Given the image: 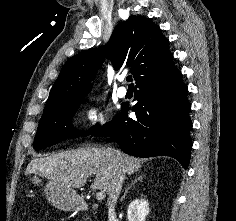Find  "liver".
Listing matches in <instances>:
<instances>
[{
	"instance_id": "obj_1",
	"label": "liver",
	"mask_w": 236,
	"mask_h": 221,
	"mask_svg": "<svg viewBox=\"0 0 236 221\" xmlns=\"http://www.w3.org/2000/svg\"><path fill=\"white\" fill-rule=\"evenodd\" d=\"M105 148L86 147L34 158L25 174L43 176L60 183L68 189L81 188L92 174L95 179L91 188L109 193L115 173V166ZM122 164L128 175L138 171L142 160L121 153Z\"/></svg>"
}]
</instances>
